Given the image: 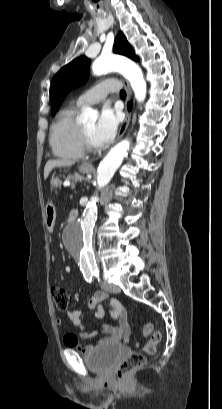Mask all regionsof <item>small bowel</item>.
I'll return each mask as SVG.
<instances>
[{
  "mask_svg": "<svg viewBox=\"0 0 222 409\" xmlns=\"http://www.w3.org/2000/svg\"><path fill=\"white\" fill-rule=\"evenodd\" d=\"M107 298V293L99 291L88 300L86 307L88 310L93 311V317L95 319H102L105 316V307L103 303ZM108 309L111 319L116 321L117 325L113 326L110 324H105L90 332L85 329L83 313L81 310H69L67 314L71 322L79 328V337L83 340L91 339L98 333H103L107 334V336L98 340L96 346L120 342L127 343L130 340L131 332L124 305L119 299L112 298L108 303ZM57 324H61V320L59 318L57 319ZM65 342L70 348L82 353L88 352L93 348V346L86 347L82 345L80 341L72 335L67 336Z\"/></svg>",
  "mask_w": 222,
  "mask_h": 409,
  "instance_id": "1",
  "label": "small bowel"
}]
</instances>
